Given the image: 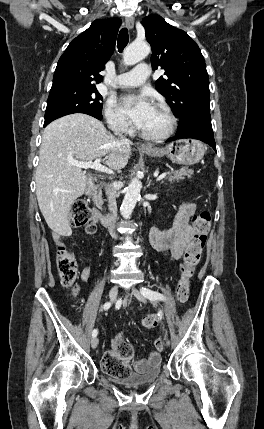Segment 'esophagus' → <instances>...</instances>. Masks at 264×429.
Masks as SVG:
<instances>
[{"mask_svg":"<svg viewBox=\"0 0 264 429\" xmlns=\"http://www.w3.org/2000/svg\"><path fill=\"white\" fill-rule=\"evenodd\" d=\"M125 24H126V26H127V28L129 30H132L134 28V19H133V17H127L125 19ZM139 147L141 149H150L151 148L149 145H145V144H141V145H139Z\"/></svg>","mask_w":264,"mask_h":429,"instance_id":"esophagus-1","label":"esophagus"}]
</instances>
